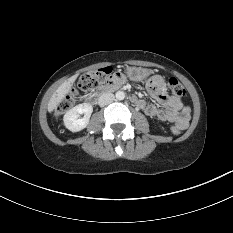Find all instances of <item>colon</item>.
Instances as JSON below:
<instances>
[{"mask_svg":"<svg viewBox=\"0 0 233 233\" xmlns=\"http://www.w3.org/2000/svg\"><path fill=\"white\" fill-rule=\"evenodd\" d=\"M111 77L110 67L99 68L95 71H90L83 74L78 81L77 88L81 91H92L106 82L112 83ZM168 87L171 94L175 97H182L185 95V88L174 77L168 80ZM78 89H73L70 94L63 98L57 107V115L62 114L73 106ZM171 129L174 134H179L182 131L177 125L172 126Z\"/></svg>","mask_w":233,"mask_h":233,"instance_id":"obj_1","label":"colon"}]
</instances>
